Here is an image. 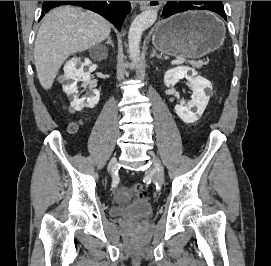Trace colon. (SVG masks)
<instances>
[{
    "label": "colon",
    "instance_id": "colon-1",
    "mask_svg": "<svg viewBox=\"0 0 271 266\" xmlns=\"http://www.w3.org/2000/svg\"><path fill=\"white\" fill-rule=\"evenodd\" d=\"M77 129H78V124L76 123L71 124L70 126L71 132H76ZM132 190L139 197H145L147 195L146 187L142 183H135L132 186Z\"/></svg>",
    "mask_w": 271,
    "mask_h": 266
}]
</instances>
